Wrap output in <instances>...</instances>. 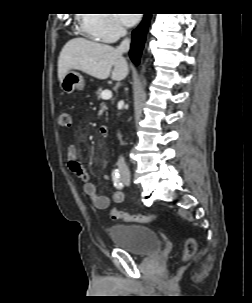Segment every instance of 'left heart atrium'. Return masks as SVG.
<instances>
[{
  "label": "left heart atrium",
  "instance_id": "39dd6f15",
  "mask_svg": "<svg viewBox=\"0 0 252 303\" xmlns=\"http://www.w3.org/2000/svg\"><path fill=\"white\" fill-rule=\"evenodd\" d=\"M121 21L127 26H133L139 20L138 14H119Z\"/></svg>",
  "mask_w": 252,
  "mask_h": 303
}]
</instances>
